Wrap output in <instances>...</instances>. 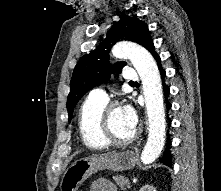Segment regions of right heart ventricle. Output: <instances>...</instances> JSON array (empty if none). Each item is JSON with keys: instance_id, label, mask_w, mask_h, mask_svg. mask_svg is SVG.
<instances>
[{"instance_id": "1", "label": "right heart ventricle", "mask_w": 221, "mask_h": 191, "mask_svg": "<svg viewBox=\"0 0 221 191\" xmlns=\"http://www.w3.org/2000/svg\"><path fill=\"white\" fill-rule=\"evenodd\" d=\"M107 101L88 96L82 103L78 126L83 144L89 149L102 150L110 146L102 136V114Z\"/></svg>"}]
</instances>
